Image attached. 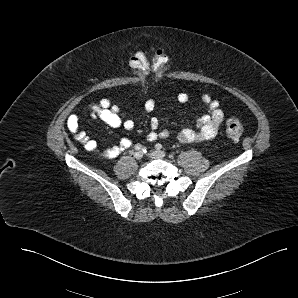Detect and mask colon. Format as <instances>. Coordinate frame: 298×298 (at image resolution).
Here are the masks:
<instances>
[{
  "label": "colon",
  "mask_w": 298,
  "mask_h": 298,
  "mask_svg": "<svg viewBox=\"0 0 298 298\" xmlns=\"http://www.w3.org/2000/svg\"><path fill=\"white\" fill-rule=\"evenodd\" d=\"M131 66L140 74V78L146 81L150 74L155 76L163 73L167 64V55L162 49L138 50L130 58ZM243 125L239 119L229 117L226 121L227 136L237 141L243 134Z\"/></svg>",
  "instance_id": "colon-1"
}]
</instances>
